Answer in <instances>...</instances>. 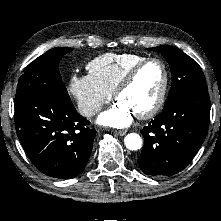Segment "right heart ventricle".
<instances>
[{
  "instance_id": "right-heart-ventricle-1",
  "label": "right heart ventricle",
  "mask_w": 221,
  "mask_h": 221,
  "mask_svg": "<svg viewBox=\"0 0 221 221\" xmlns=\"http://www.w3.org/2000/svg\"><path fill=\"white\" fill-rule=\"evenodd\" d=\"M145 59L147 57L139 54L106 53L90 61L87 69L89 74L112 94L128 71Z\"/></svg>"
}]
</instances>
